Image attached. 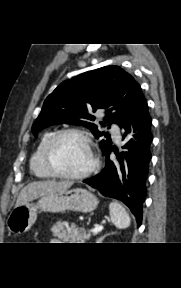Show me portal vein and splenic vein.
<instances>
[{
  "label": "portal vein and splenic vein",
  "instance_id": "obj_1",
  "mask_svg": "<svg viewBox=\"0 0 181 288\" xmlns=\"http://www.w3.org/2000/svg\"><path fill=\"white\" fill-rule=\"evenodd\" d=\"M102 229H103V226H99V227L91 229L90 232L99 233L100 231H102Z\"/></svg>",
  "mask_w": 181,
  "mask_h": 288
}]
</instances>
